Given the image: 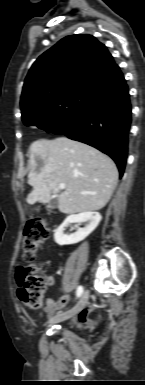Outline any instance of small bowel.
<instances>
[{"label": "small bowel", "instance_id": "obj_1", "mask_svg": "<svg viewBox=\"0 0 145 385\" xmlns=\"http://www.w3.org/2000/svg\"><path fill=\"white\" fill-rule=\"evenodd\" d=\"M50 282L49 286H52L54 284V278L52 276H47ZM70 300V296L68 294L63 295L60 297L57 301H54L50 298L46 299L45 304V312L47 315L52 318L56 316L57 311L64 306L67 305V303ZM95 308V304L91 303L87 305L86 307H83V309L80 311L79 315L73 319V323L77 327H92L95 325V321L90 318V313Z\"/></svg>", "mask_w": 145, "mask_h": 385}]
</instances>
